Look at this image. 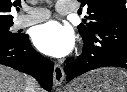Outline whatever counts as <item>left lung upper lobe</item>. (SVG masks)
I'll use <instances>...</instances> for the list:
<instances>
[{
  "instance_id": "5c2ea615",
  "label": "left lung upper lobe",
  "mask_w": 127,
  "mask_h": 92,
  "mask_svg": "<svg viewBox=\"0 0 127 92\" xmlns=\"http://www.w3.org/2000/svg\"><path fill=\"white\" fill-rule=\"evenodd\" d=\"M87 9L88 22L78 25L82 37H88L100 29L127 30L125 0H78Z\"/></svg>"
}]
</instances>
